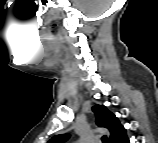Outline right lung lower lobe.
Returning a JSON list of instances; mask_svg holds the SVG:
<instances>
[{"mask_svg": "<svg viewBox=\"0 0 158 143\" xmlns=\"http://www.w3.org/2000/svg\"><path fill=\"white\" fill-rule=\"evenodd\" d=\"M121 143H129V139L128 138H126L123 142H121Z\"/></svg>", "mask_w": 158, "mask_h": 143, "instance_id": "98d812e1", "label": "right lung lower lobe"}]
</instances>
